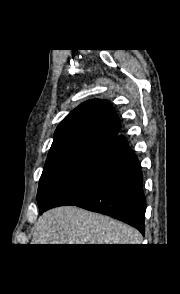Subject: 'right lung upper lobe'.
I'll list each match as a JSON object with an SVG mask.
<instances>
[{
	"instance_id": "cb5924a9",
	"label": "right lung upper lobe",
	"mask_w": 180,
	"mask_h": 294,
	"mask_svg": "<svg viewBox=\"0 0 180 294\" xmlns=\"http://www.w3.org/2000/svg\"><path fill=\"white\" fill-rule=\"evenodd\" d=\"M120 128L119 117L107 100H89L62 120L51 147L76 141L101 143Z\"/></svg>"
}]
</instances>
